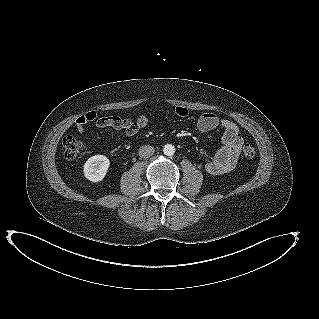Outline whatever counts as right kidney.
Instances as JSON below:
<instances>
[{"label":"right kidney","mask_w":319,"mask_h":319,"mask_svg":"<svg viewBox=\"0 0 319 319\" xmlns=\"http://www.w3.org/2000/svg\"><path fill=\"white\" fill-rule=\"evenodd\" d=\"M110 161L104 155L90 157L83 166L84 176L92 181L99 182L104 179L109 169Z\"/></svg>","instance_id":"ca27d5eb"}]
</instances>
